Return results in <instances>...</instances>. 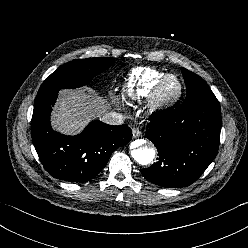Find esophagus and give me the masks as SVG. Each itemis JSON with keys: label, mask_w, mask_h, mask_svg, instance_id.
<instances>
[{"label": "esophagus", "mask_w": 248, "mask_h": 248, "mask_svg": "<svg viewBox=\"0 0 248 248\" xmlns=\"http://www.w3.org/2000/svg\"><path fill=\"white\" fill-rule=\"evenodd\" d=\"M132 136L133 138H138L141 136V131L138 128H133L132 129Z\"/></svg>", "instance_id": "esophagus-1"}]
</instances>
